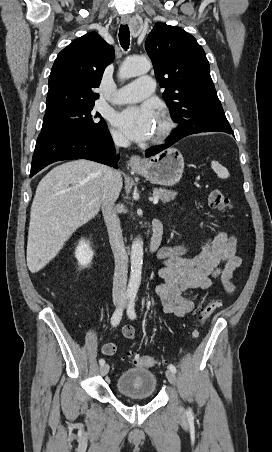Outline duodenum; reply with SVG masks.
<instances>
[{
  "label": "duodenum",
  "instance_id": "410a0bca",
  "mask_svg": "<svg viewBox=\"0 0 272 452\" xmlns=\"http://www.w3.org/2000/svg\"><path fill=\"white\" fill-rule=\"evenodd\" d=\"M152 229L153 233L148 243V249L151 252H156L159 249L163 237V223L159 218L153 219Z\"/></svg>",
  "mask_w": 272,
  "mask_h": 452
}]
</instances>
